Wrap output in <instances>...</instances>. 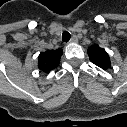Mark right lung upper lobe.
<instances>
[{
	"label": "right lung upper lobe",
	"mask_w": 127,
	"mask_h": 127,
	"mask_svg": "<svg viewBox=\"0 0 127 127\" xmlns=\"http://www.w3.org/2000/svg\"><path fill=\"white\" fill-rule=\"evenodd\" d=\"M62 53V49L41 52L38 56V68L46 73L56 68L59 64Z\"/></svg>",
	"instance_id": "right-lung-upper-lobe-1"
}]
</instances>
